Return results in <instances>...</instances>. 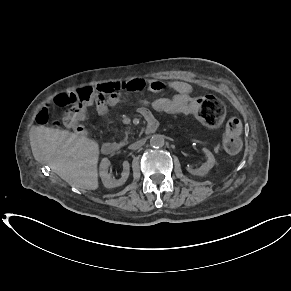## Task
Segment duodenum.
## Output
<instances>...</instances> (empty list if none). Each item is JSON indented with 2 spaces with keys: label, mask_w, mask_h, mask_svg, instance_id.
Here are the masks:
<instances>
[{
  "label": "duodenum",
  "mask_w": 291,
  "mask_h": 291,
  "mask_svg": "<svg viewBox=\"0 0 291 291\" xmlns=\"http://www.w3.org/2000/svg\"><path fill=\"white\" fill-rule=\"evenodd\" d=\"M147 120H148V122H147L146 132L151 133L156 129L157 123L154 120V118H148ZM118 148L119 147L117 144L111 143V142H106L102 145L101 150H102L103 154L110 155V154L115 153L118 150Z\"/></svg>",
  "instance_id": "410a0bca"
}]
</instances>
